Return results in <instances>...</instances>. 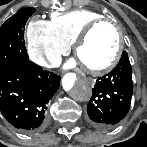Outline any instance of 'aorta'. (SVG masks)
<instances>
[{
  "instance_id": "obj_1",
  "label": "aorta",
  "mask_w": 147,
  "mask_h": 147,
  "mask_svg": "<svg viewBox=\"0 0 147 147\" xmlns=\"http://www.w3.org/2000/svg\"><path fill=\"white\" fill-rule=\"evenodd\" d=\"M71 93L77 101H87L91 97V88L87 82H80L75 85Z\"/></svg>"
}]
</instances>
